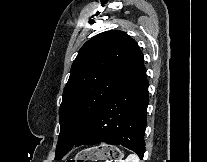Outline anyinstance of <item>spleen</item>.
Returning a JSON list of instances; mask_svg holds the SVG:
<instances>
[{"mask_svg":"<svg viewBox=\"0 0 207 162\" xmlns=\"http://www.w3.org/2000/svg\"><path fill=\"white\" fill-rule=\"evenodd\" d=\"M119 162H140V159L136 154H130L125 160H120Z\"/></svg>","mask_w":207,"mask_h":162,"instance_id":"1","label":"spleen"}]
</instances>
